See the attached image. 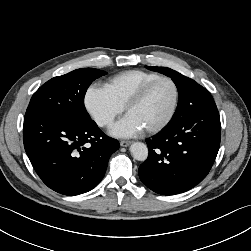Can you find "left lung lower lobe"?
<instances>
[{
	"label": "left lung lower lobe",
	"mask_w": 251,
	"mask_h": 251,
	"mask_svg": "<svg viewBox=\"0 0 251 251\" xmlns=\"http://www.w3.org/2000/svg\"><path fill=\"white\" fill-rule=\"evenodd\" d=\"M178 114L176 121L146 140L149 155L139 167L141 181L162 195L186 192L199 184L220 146V117L208 90L187 95Z\"/></svg>",
	"instance_id": "obj_1"
}]
</instances>
